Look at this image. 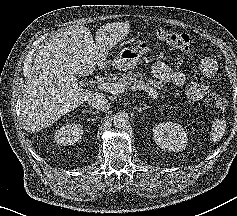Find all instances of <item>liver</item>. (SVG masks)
Masks as SVG:
<instances>
[{
  "label": "liver",
  "mask_w": 237,
  "mask_h": 216,
  "mask_svg": "<svg viewBox=\"0 0 237 216\" xmlns=\"http://www.w3.org/2000/svg\"><path fill=\"white\" fill-rule=\"evenodd\" d=\"M102 46L93 41L85 25L62 29L39 50L27 76L22 99L24 124L29 130L45 128L79 108L94 91L81 89L77 77L108 70Z\"/></svg>",
  "instance_id": "obj_1"
}]
</instances>
